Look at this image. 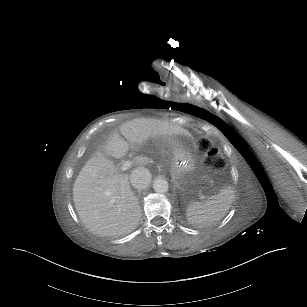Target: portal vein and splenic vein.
Listing matches in <instances>:
<instances>
[{"label":"portal vein and splenic vein","mask_w":307,"mask_h":307,"mask_svg":"<svg viewBox=\"0 0 307 307\" xmlns=\"http://www.w3.org/2000/svg\"><path fill=\"white\" fill-rule=\"evenodd\" d=\"M133 165H134L133 160L128 159V160H126L125 163L121 164L120 169H121V171L126 172V171H128L129 168L133 167ZM199 196H200V199L202 201L206 200V196L204 195L203 192H200Z\"/></svg>","instance_id":"18ae733b"}]
</instances>
